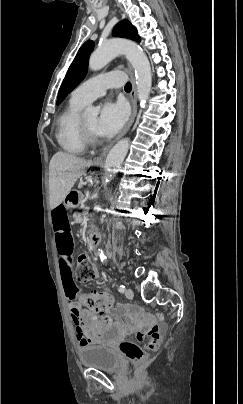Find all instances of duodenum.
<instances>
[{
  "instance_id": "obj_1",
  "label": "duodenum",
  "mask_w": 243,
  "mask_h": 404,
  "mask_svg": "<svg viewBox=\"0 0 243 404\" xmlns=\"http://www.w3.org/2000/svg\"><path fill=\"white\" fill-rule=\"evenodd\" d=\"M79 202V193L76 190H70L66 193L64 198V204L68 208H74L77 206ZM100 240V235L97 232H92L89 239L88 245L91 248H94Z\"/></svg>"
}]
</instances>
